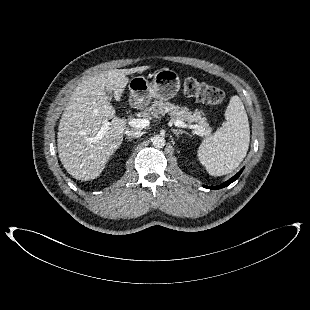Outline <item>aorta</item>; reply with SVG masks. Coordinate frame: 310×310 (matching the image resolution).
<instances>
[{"label": "aorta", "instance_id": "762f6f07", "mask_svg": "<svg viewBox=\"0 0 310 310\" xmlns=\"http://www.w3.org/2000/svg\"><path fill=\"white\" fill-rule=\"evenodd\" d=\"M165 138L161 135H156L152 138V145L155 148H163L165 146Z\"/></svg>", "mask_w": 310, "mask_h": 310}]
</instances>
